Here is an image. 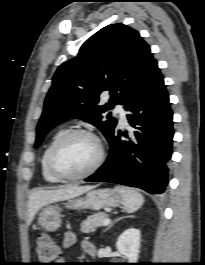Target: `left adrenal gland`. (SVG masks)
<instances>
[{
    "mask_svg": "<svg viewBox=\"0 0 205 265\" xmlns=\"http://www.w3.org/2000/svg\"><path fill=\"white\" fill-rule=\"evenodd\" d=\"M122 218H123V217L116 219L114 222H111V223L109 224V226L104 230V232L107 231L111 226H113V224H114L115 222H117L118 220H120V219H122Z\"/></svg>",
    "mask_w": 205,
    "mask_h": 265,
    "instance_id": "left-adrenal-gland-1",
    "label": "left adrenal gland"
}]
</instances>
